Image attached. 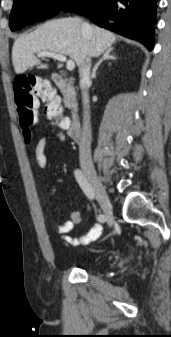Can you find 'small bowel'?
I'll use <instances>...</instances> for the list:
<instances>
[{"mask_svg":"<svg viewBox=\"0 0 171 337\" xmlns=\"http://www.w3.org/2000/svg\"><path fill=\"white\" fill-rule=\"evenodd\" d=\"M52 139L57 142H64L66 140V135L62 131L55 132L52 135ZM49 137L45 136L39 139L35 146L34 156L37 166L40 169H45L48 165V159L46 155V146ZM54 188L50 189L53 192ZM86 212H90V208L86 207ZM83 219V213L80 211H75L71 214L69 220H59L56 222L54 230L57 234L62 236L64 243L70 246H80L86 245L92 241L97 240L102 234V226L100 224H94L90 230L82 236L73 237L69 233L72 231L73 227L80 224Z\"/></svg>","mask_w":171,"mask_h":337,"instance_id":"1","label":"small bowel"}]
</instances>
